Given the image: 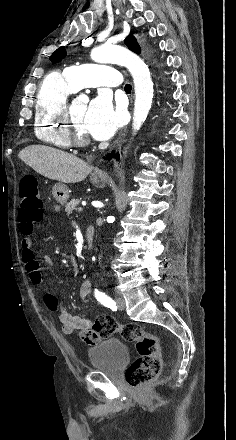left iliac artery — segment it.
<instances>
[{
    "instance_id": "44dca946",
    "label": "left iliac artery",
    "mask_w": 236,
    "mask_h": 440,
    "mask_svg": "<svg viewBox=\"0 0 236 440\" xmlns=\"http://www.w3.org/2000/svg\"><path fill=\"white\" fill-rule=\"evenodd\" d=\"M94 295L97 301H99L104 306L111 308L113 311L117 310L115 301L112 298H110L108 295H106L104 292H100L98 289H95Z\"/></svg>"
}]
</instances>
